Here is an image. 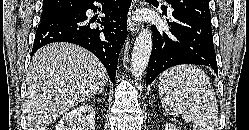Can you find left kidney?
Instances as JSON below:
<instances>
[{
	"label": "left kidney",
	"mask_w": 249,
	"mask_h": 130,
	"mask_svg": "<svg viewBox=\"0 0 249 130\" xmlns=\"http://www.w3.org/2000/svg\"><path fill=\"white\" fill-rule=\"evenodd\" d=\"M165 130H177V128L173 124L167 123L165 126Z\"/></svg>",
	"instance_id": "5707ae66"
}]
</instances>
